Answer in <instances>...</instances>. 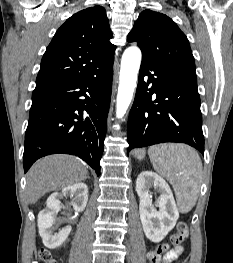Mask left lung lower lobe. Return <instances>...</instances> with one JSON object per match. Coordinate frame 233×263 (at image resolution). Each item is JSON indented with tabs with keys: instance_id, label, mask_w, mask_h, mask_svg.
Segmentation results:
<instances>
[{
	"instance_id": "left-lung-lower-lobe-1",
	"label": "left lung lower lobe",
	"mask_w": 233,
	"mask_h": 263,
	"mask_svg": "<svg viewBox=\"0 0 233 263\" xmlns=\"http://www.w3.org/2000/svg\"><path fill=\"white\" fill-rule=\"evenodd\" d=\"M127 137L128 151L182 142L204 153L196 73L142 60Z\"/></svg>"
}]
</instances>
